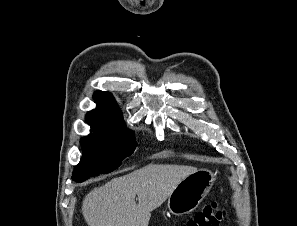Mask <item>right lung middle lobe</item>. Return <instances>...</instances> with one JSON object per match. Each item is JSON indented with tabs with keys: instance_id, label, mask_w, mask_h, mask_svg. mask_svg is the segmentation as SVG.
Wrapping results in <instances>:
<instances>
[{
	"instance_id": "dd1d6c3e",
	"label": "right lung middle lobe",
	"mask_w": 297,
	"mask_h": 226,
	"mask_svg": "<svg viewBox=\"0 0 297 226\" xmlns=\"http://www.w3.org/2000/svg\"><path fill=\"white\" fill-rule=\"evenodd\" d=\"M92 130V134L80 141L83 156L72 175L76 182L115 170L137 145L134 132L125 127L122 117L115 127Z\"/></svg>"
}]
</instances>
